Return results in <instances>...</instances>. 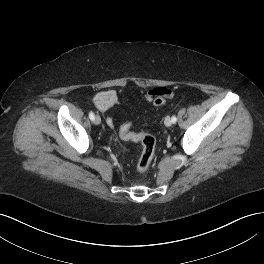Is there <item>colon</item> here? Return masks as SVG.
Returning <instances> with one entry per match:
<instances>
[{
    "mask_svg": "<svg viewBox=\"0 0 264 264\" xmlns=\"http://www.w3.org/2000/svg\"><path fill=\"white\" fill-rule=\"evenodd\" d=\"M165 103L164 98H156L153 101L155 106H160ZM120 137L126 141L138 142L142 146L141 154L136 164V171L144 173L148 170L155 154L156 140L147 133H135L131 131V124L125 123L120 128Z\"/></svg>",
    "mask_w": 264,
    "mask_h": 264,
    "instance_id": "colon-1",
    "label": "colon"
}]
</instances>
